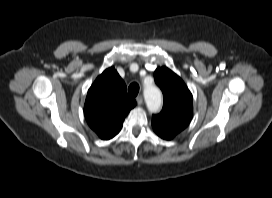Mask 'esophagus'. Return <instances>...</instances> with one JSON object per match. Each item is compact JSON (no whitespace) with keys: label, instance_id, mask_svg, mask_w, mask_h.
<instances>
[{"label":"esophagus","instance_id":"obj_1","mask_svg":"<svg viewBox=\"0 0 272 198\" xmlns=\"http://www.w3.org/2000/svg\"><path fill=\"white\" fill-rule=\"evenodd\" d=\"M136 101L138 103V105H141L143 103V96L142 95H139L137 98H136Z\"/></svg>","mask_w":272,"mask_h":198}]
</instances>
